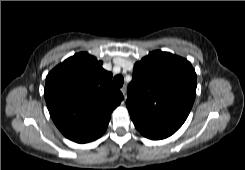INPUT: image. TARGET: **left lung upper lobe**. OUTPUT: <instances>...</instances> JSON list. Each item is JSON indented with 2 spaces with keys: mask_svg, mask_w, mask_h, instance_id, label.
Returning a JSON list of instances; mask_svg holds the SVG:
<instances>
[{
  "mask_svg": "<svg viewBox=\"0 0 245 170\" xmlns=\"http://www.w3.org/2000/svg\"><path fill=\"white\" fill-rule=\"evenodd\" d=\"M196 85L187 59L153 51L134 65L126 106L133 118L177 131L192 108Z\"/></svg>",
  "mask_w": 245,
  "mask_h": 170,
  "instance_id": "left-lung-upper-lobe-1",
  "label": "left lung upper lobe"
}]
</instances>
